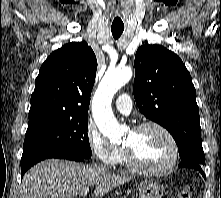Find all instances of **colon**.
Segmentation results:
<instances>
[{"label":"colon","instance_id":"5ec220e1","mask_svg":"<svg viewBox=\"0 0 221 198\" xmlns=\"http://www.w3.org/2000/svg\"><path fill=\"white\" fill-rule=\"evenodd\" d=\"M193 187L192 186H184L180 189L178 198H193Z\"/></svg>","mask_w":221,"mask_h":198}]
</instances>
